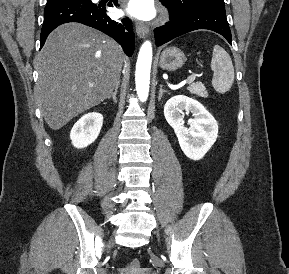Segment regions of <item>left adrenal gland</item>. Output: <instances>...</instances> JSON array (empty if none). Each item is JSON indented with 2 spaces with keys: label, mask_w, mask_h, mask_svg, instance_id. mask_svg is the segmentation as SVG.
<instances>
[{
  "label": "left adrenal gland",
  "mask_w": 289,
  "mask_h": 274,
  "mask_svg": "<svg viewBox=\"0 0 289 274\" xmlns=\"http://www.w3.org/2000/svg\"><path fill=\"white\" fill-rule=\"evenodd\" d=\"M164 92H167V91L163 89V85H160L159 96H158L159 101L161 100Z\"/></svg>",
  "instance_id": "obj_1"
}]
</instances>
